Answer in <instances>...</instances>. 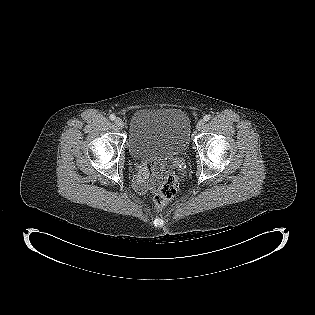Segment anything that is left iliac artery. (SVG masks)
I'll list each match as a JSON object with an SVG mask.
<instances>
[{
	"instance_id": "left-iliac-artery-1",
	"label": "left iliac artery",
	"mask_w": 315,
	"mask_h": 315,
	"mask_svg": "<svg viewBox=\"0 0 315 315\" xmlns=\"http://www.w3.org/2000/svg\"><path fill=\"white\" fill-rule=\"evenodd\" d=\"M210 118H211V116H210V115H205L203 119H204V121H206V122H207V121H209V120H210Z\"/></svg>"
}]
</instances>
